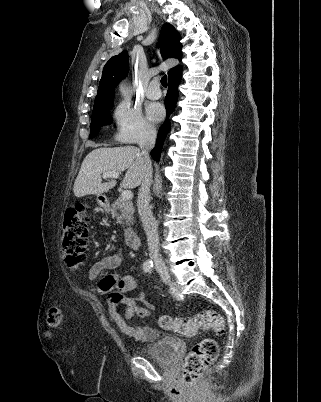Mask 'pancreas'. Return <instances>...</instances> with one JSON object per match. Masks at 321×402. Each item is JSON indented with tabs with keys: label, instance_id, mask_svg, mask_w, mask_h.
Here are the masks:
<instances>
[{
	"label": "pancreas",
	"instance_id": "cf45deb5",
	"mask_svg": "<svg viewBox=\"0 0 321 402\" xmlns=\"http://www.w3.org/2000/svg\"><path fill=\"white\" fill-rule=\"evenodd\" d=\"M134 212L133 203L130 200H123L121 197L114 202L110 209L112 217L116 218L117 223L123 225L133 224Z\"/></svg>",
	"mask_w": 321,
	"mask_h": 402
}]
</instances>
